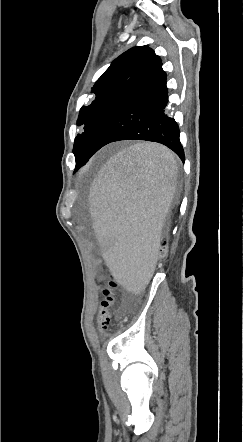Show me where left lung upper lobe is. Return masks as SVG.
<instances>
[{"instance_id": "1", "label": "left lung upper lobe", "mask_w": 243, "mask_h": 442, "mask_svg": "<svg viewBox=\"0 0 243 442\" xmlns=\"http://www.w3.org/2000/svg\"><path fill=\"white\" fill-rule=\"evenodd\" d=\"M160 61V57L148 46L133 47L115 59L97 80L91 90L95 99L80 109L77 120V125H83L84 131L74 141L75 171L84 165L86 151L107 116Z\"/></svg>"}]
</instances>
